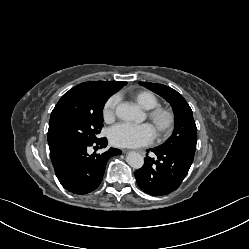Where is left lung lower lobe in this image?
Segmentation results:
<instances>
[{
  "instance_id": "1",
  "label": "left lung lower lobe",
  "mask_w": 249,
  "mask_h": 249,
  "mask_svg": "<svg viewBox=\"0 0 249 249\" xmlns=\"http://www.w3.org/2000/svg\"><path fill=\"white\" fill-rule=\"evenodd\" d=\"M150 150L157 158L146 156L143 167L135 172L137 184L147 194L167 195L182 183L194 154L178 150L167 151L158 147Z\"/></svg>"
}]
</instances>
